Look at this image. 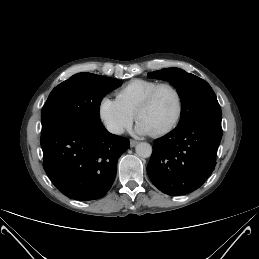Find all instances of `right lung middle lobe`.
Masks as SVG:
<instances>
[{
  "mask_svg": "<svg viewBox=\"0 0 259 259\" xmlns=\"http://www.w3.org/2000/svg\"><path fill=\"white\" fill-rule=\"evenodd\" d=\"M114 78L78 73L55 87L41 112L42 132L66 124L102 125L99 107L103 97L121 86Z\"/></svg>",
  "mask_w": 259,
  "mask_h": 259,
  "instance_id": "dd1d6c3e",
  "label": "right lung middle lobe"
}]
</instances>
